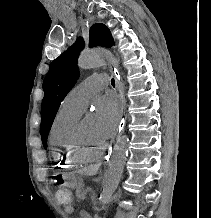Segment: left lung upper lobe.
<instances>
[{"label":"left lung upper lobe","mask_w":211,"mask_h":218,"mask_svg":"<svg viewBox=\"0 0 211 218\" xmlns=\"http://www.w3.org/2000/svg\"><path fill=\"white\" fill-rule=\"evenodd\" d=\"M113 44L111 33L104 24L99 23L91 27L90 47L98 45L111 47ZM83 48L84 42L79 38L74 45L52 62L49 72L43 81L45 96L41 106L42 122L40 134L45 149L47 148V136L58 108L78 79L77 59Z\"/></svg>","instance_id":"1"}]
</instances>
